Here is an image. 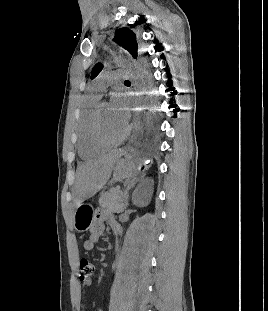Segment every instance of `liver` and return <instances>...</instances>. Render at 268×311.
<instances>
[{
  "label": "liver",
  "mask_w": 268,
  "mask_h": 311,
  "mask_svg": "<svg viewBox=\"0 0 268 311\" xmlns=\"http://www.w3.org/2000/svg\"><path fill=\"white\" fill-rule=\"evenodd\" d=\"M124 150H115L78 168L75 183V205L93 197L110 179L117 160Z\"/></svg>",
  "instance_id": "liver-1"
}]
</instances>
